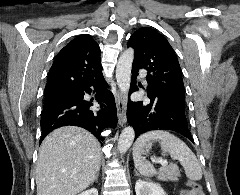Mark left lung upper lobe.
Here are the masks:
<instances>
[{
    "instance_id": "obj_1",
    "label": "left lung upper lobe",
    "mask_w": 240,
    "mask_h": 195,
    "mask_svg": "<svg viewBox=\"0 0 240 195\" xmlns=\"http://www.w3.org/2000/svg\"><path fill=\"white\" fill-rule=\"evenodd\" d=\"M127 46L135 50L132 72L148 71L147 90L158 89L184 104V84L176 54L169 42L151 28L135 31Z\"/></svg>"
}]
</instances>
